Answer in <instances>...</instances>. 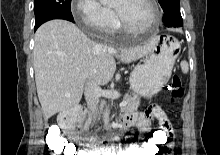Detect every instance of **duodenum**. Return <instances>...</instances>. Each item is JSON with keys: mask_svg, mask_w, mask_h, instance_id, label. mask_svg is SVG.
Here are the masks:
<instances>
[{"mask_svg": "<svg viewBox=\"0 0 220 155\" xmlns=\"http://www.w3.org/2000/svg\"><path fill=\"white\" fill-rule=\"evenodd\" d=\"M81 111L82 109L80 106H75L63 111L59 118L60 126L70 138L84 146L85 155H105L106 149L96 146L92 143L93 140H98L100 137L96 136L93 138H88L76 131L74 122L81 114Z\"/></svg>", "mask_w": 220, "mask_h": 155, "instance_id": "410a0bca", "label": "duodenum"}]
</instances>
